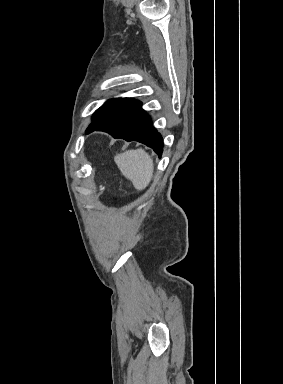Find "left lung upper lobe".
<instances>
[{
  "mask_svg": "<svg viewBox=\"0 0 283 384\" xmlns=\"http://www.w3.org/2000/svg\"><path fill=\"white\" fill-rule=\"evenodd\" d=\"M122 99L116 98V99H110L107 102H105L94 114H93V121L101 116L103 113H105L107 110L112 108L114 105H116L118 102H120Z\"/></svg>",
  "mask_w": 283,
  "mask_h": 384,
  "instance_id": "5c2ea615",
  "label": "left lung upper lobe"
}]
</instances>
